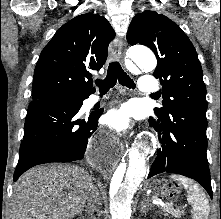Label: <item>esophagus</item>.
<instances>
[{
  "mask_svg": "<svg viewBox=\"0 0 221 219\" xmlns=\"http://www.w3.org/2000/svg\"><path fill=\"white\" fill-rule=\"evenodd\" d=\"M122 46L121 37L117 36L110 44V55L112 58L122 61Z\"/></svg>",
  "mask_w": 221,
  "mask_h": 219,
  "instance_id": "1",
  "label": "esophagus"
}]
</instances>
